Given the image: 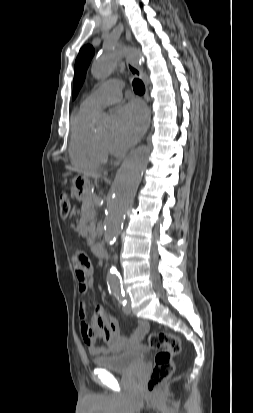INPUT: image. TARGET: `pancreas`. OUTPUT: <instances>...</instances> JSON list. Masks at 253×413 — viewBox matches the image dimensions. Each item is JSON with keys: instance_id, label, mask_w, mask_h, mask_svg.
Masks as SVG:
<instances>
[{"instance_id": "1", "label": "pancreas", "mask_w": 253, "mask_h": 413, "mask_svg": "<svg viewBox=\"0 0 253 413\" xmlns=\"http://www.w3.org/2000/svg\"><path fill=\"white\" fill-rule=\"evenodd\" d=\"M94 199H95V196L90 194L83 200V204H82V215H86L90 223L88 226V238H87V243L90 246L93 245L95 238H96V232H95L96 211L94 210V206H93Z\"/></svg>"}]
</instances>
